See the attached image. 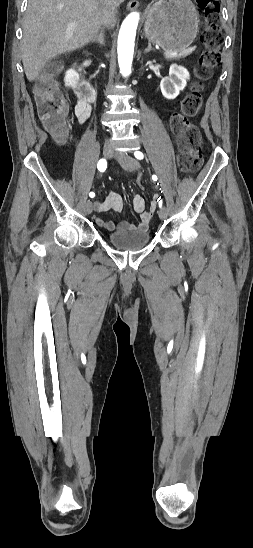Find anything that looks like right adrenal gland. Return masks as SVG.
<instances>
[{
	"label": "right adrenal gland",
	"mask_w": 253,
	"mask_h": 548,
	"mask_svg": "<svg viewBox=\"0 0 253 548\" xmlns=\"http://www.w3.org/2000/svg\"><path fill=\"white\" fill-rule=\"evenodd\" d=\"M92 43H99L101 46H103L105 44V40H104V33L103 32H100V34L98 35V37L94 38L93 40H91Z\"/></svg>",
	"instance_id": "1"
}]
</instances>
